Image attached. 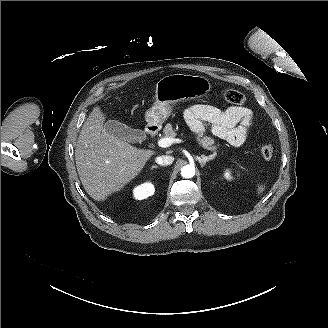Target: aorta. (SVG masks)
<instances>
[{"label": "aorta", "mask_w": 328, "mask_h": 328, "mask_svg": "<svg viewBox=\"0 0 328 328\" xmlns=\"http://www.w3.org/2000/svg\"><path fill=\"white\" fill-rule=\"evenodd\" d=\"M181 175L183 178H192L195 175V167L192 165L183 166Z\"/></svg>", "instance_id": "762f6f07"}]
</instances>
